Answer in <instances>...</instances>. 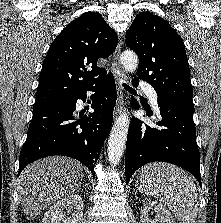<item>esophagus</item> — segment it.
<instances>
[{"label":"esophagus","instance_id":"esophagus-1","mask_svg":"<svg viewBox=\"0 0 221 223\" xmlns=\"http://www.w3.org/2000/svg\"><path fill=\"white\" fill-rule=\"evenodd\" d=\"M121 46H122V40L118 42L117 47L113 54V65H114L113 75L117 86V101L114 108V117H116L122 111L125 105V93L122 87V81L126 80V75L122 71L120 66Z\"/></svg>","mask_w":221,"mask_h":223}]
</instances>
